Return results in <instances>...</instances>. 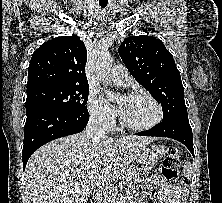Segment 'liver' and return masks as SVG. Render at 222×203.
Segmentation results:
<instances>
[{
  "instance_id": "obj_1",
  "label": "liver",
  "mask_w": 222,
  "mask_h": 203,
  "mask_svg": "<svg viewBox=\"0 0 222 203\" xmlns=\"http://www.w3.org/2000/svg\"><path fill=\"white\" fill-rule=\"evenodd\" d=\"M154 138L91 139L78 133L49 142L28 160L26 189L32 203H86L118 177Z\"/></svg>"
}]
</instances>
